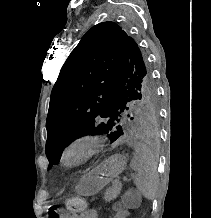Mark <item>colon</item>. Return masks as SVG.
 Wrapping results in <instances>:
<instances>
[{
    "label": "colon",
    "mask_w": 211,
    "mask_h": 218,
    "mask_svg": "<svg viewBox=\"0 0 211 218\" xmlns=\"http://www.w3.org/2000/svg\"><path fill=\"white\" fill-rule=\"evenodd\" d=\"M66 205L70 213L80 212L85 208V202L81 198H70L67 200Z\"/></svg>",
    "instance_id": "1"
}]
</instances>
